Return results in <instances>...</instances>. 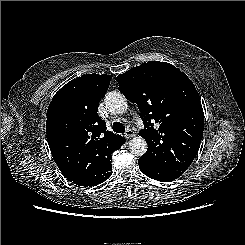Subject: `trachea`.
Returning a JSON list of instances; mask_svg holds the SVG:
<instances>
[{"instance_id": "1", "label": "trachea", "mask_w": 245, "mask_h": 245, "mask_svg": "<svg viewBox=\"0 0 245 245\" xmlns=\"http://www.w3.org/2000/svg\"><path fill=\"white\" fill-rule=\"evenodd\" d=\"M112 128H113V131L116 133H124L125 132V126L120 122H114Z\"/></svg>"}]
</instances>
